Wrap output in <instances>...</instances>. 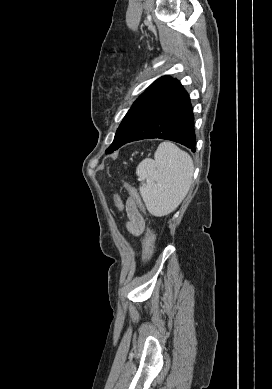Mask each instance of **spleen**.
<instances>
[{"label":"spleen","mask_w":272,"mask_h":389,"mask_svg":"<svg viewBox=\"0 0 272 389\" xmlns=\"http://www.w3.org/2000/svg\"><path fill=\"white\" fill-rule=\"evenodd\" d=\"M193 171L188 153L171 142L160 143L154 160L144 159L136 169L142 182L140 194L148 211L157 217L173 212L188 193Z\"/></svg>","instance_id":"spleen-1"}]
</instances>
